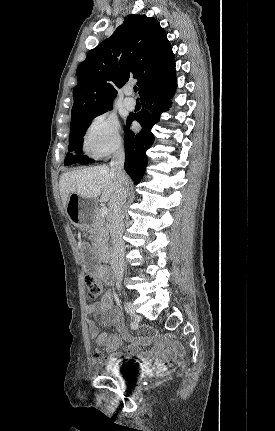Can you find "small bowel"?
Wrapping results in <instances>:
<instances>
[{"label":"small bowel","mask_w":275,"mask_h":431,"mask_svg":"<svg viewBox=\"0 0 275 431\" xmlns=\"http://www.w3.org/2000/svg\"><path fill=\"white\" fill-rule=\"evenodd\" d=\"M81 256L92 274L99 277L109 287L100 301L87 306V312L93 316V319L88 323L89 335L97 343L92 353L93 363L102 364L119 361L122 354L118 349L122 340L128 342L127 354L137 356L145 367L150 366L153 362L158 370H167L178 362L183 355L182 347L178 343L159 335L154 329L145 327L143 335L138 337H133L128 333L121 310L113 305L114 293L111 288L113 281L111 272L107 267L97 263L94 253L87 243L82 244ZM98 321L105 326L115 325L118 334L101 332ZM151 345L154 347L152 352H140V347ZM104 354L107 356L105 357Z\"/></svg>","instance_id":"c3829d8e"}]
</instances>
